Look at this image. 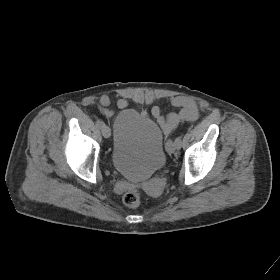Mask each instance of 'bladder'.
<instances>
[{"label": "bladder", "instance_id": "bladder-1", "mask_svg": "<svg viewBox=\"0 0 280 280\" xmlns=\"http://www.w3.org/2000/svg\"><path fill=\"white\" fill-rule=\"evenodd\" d=\"M113 167L132 180H145L165 164L164 135L159 123L134 109L121 111L113 122Z\"/></svg>", "mask_w": 280, "mask_h": 280}]
</instances>
